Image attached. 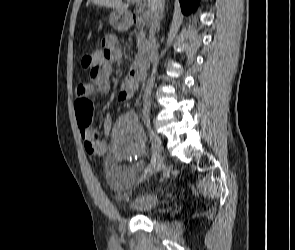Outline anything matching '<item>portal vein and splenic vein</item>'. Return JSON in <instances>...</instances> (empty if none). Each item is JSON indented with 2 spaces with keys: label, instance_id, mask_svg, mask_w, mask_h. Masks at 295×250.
<instances>
[{
  "label": "portal vein and splenic vein",
  "instance_id": "obj_1",
  "mask_svg": "<svg viewBox=\"0 0 295 250\" xmlns=\"http://www.w3.org/2000/svg\"><path fill=\"white\" fill-rule=\"evenodd\" d=\"M128 2H132V3H139V4H142V0H127ZM150 14H151V11H150V9H147L146 11H145V13H144V16L145 17H149L150 16Z\"/></svg>",
  "mask_w": 295,
  "mask_h": 250
}]
</instances>
